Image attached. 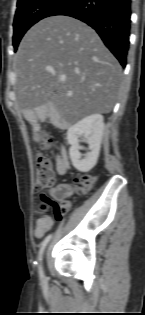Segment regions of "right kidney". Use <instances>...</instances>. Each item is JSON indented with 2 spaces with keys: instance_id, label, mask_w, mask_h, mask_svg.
I'll return each instance as SVG.
<instances>
[{
  "instance_id": "right-kidney-1",
  "label": "right kidney",
  "mask_w": 145,
  "mask_h": 315,
  "mask_svg": "<svg viewBox=\"0 0 145 315\" xmlns=\"http://www.w3.org/2000/svg\"><path fill=\"white\" fill-rule=\"evenodd\" d=\"M104 131V118L100 114L89 115L67 131V141L71 145L69 155L73 166L80 172L90 171L97 163ZM83 136L89 151L82 157L79 152V137Z\"/></svg>"
}]
</instances>
